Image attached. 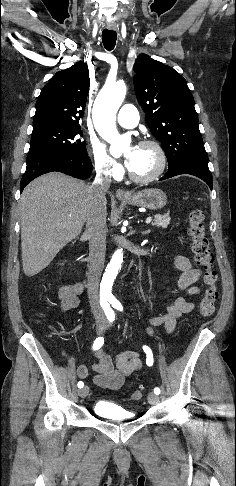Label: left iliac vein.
Returning <instances> with one entry per match:
<instances>
[{"label":"left iliac vein","instance_id":"1","mask_svg":"<svg viewBox=\"0 0 236 486\" xmlns=\"http://www.w3.org/2000/svg\"><path fill=\"white\" fill-rule=\"evenodd\" d=\"M147 399H148V402L152 405H155L159 402V396L157 394L153 393V392L148 394Z\"/></svg>","mask_w":236,"mask_h":486}]
</instances>
